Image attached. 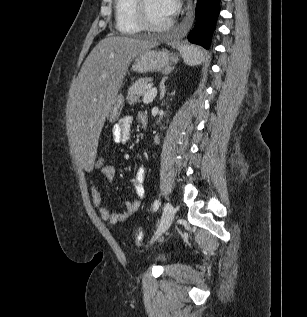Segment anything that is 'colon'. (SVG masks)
Here are the masks:
<instances>
[{"label": "colon", "mask_w": 307, "mask_h": 317, "mask_svg": "<svg viewBox=\"0 0 307 317\" xmlns=\"http://www.w3.org/2000/svg\"><path fill=\"white\" fill-rule=\"evenodd\" d=\"M105 166V160L102 156H97L95 159L94 168L102 169ZM134 238L137 243H139L142 239V231L140 228H137L134 232Z\"/></svg>", "instance_id": "obj_1"}]
</instances>
